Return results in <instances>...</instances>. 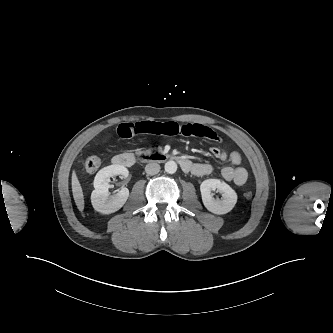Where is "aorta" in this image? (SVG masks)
Masks as SVG:
<instances>
[{"label": "aorta", "instance_id": "1", "mask_svg": "<svg viewBox=\"0 0 333 333\" xmlns=\"http://www.w3.org/2000/svg\"><path fill=\"white\" fill-rule=\"evenodd\" d=\"M164 168L167 173L173 174L177 171V164L175 161L170 160L165 163Z\"/></svg>", "mask_w": 333, "mask_h": 333}]
</instances>
